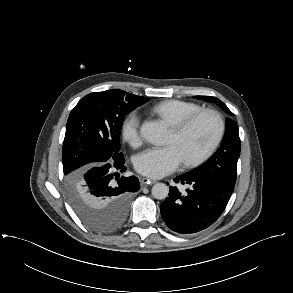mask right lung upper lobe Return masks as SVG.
<instances>
[{
    "label": "right lung upper lobe",
    "instance_id": "cb5924a9",
    "mask_svg": "<svg viewBox=\"0 0 293 293\" xmlns=\"http://www.w3.org/2000/svg\"><path fill=\"white\" fill-rule=\"evenodd\" d=\"M144 99H146V100H149V98L148 97H143Z\"/></svg>",
    "mask_w": 293,
    "mask_h": 293
}]
</instances>
